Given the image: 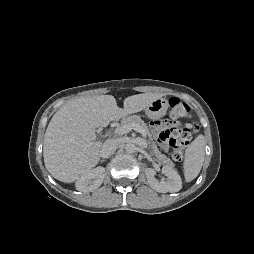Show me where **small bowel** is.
<instances>
[{"instance_id": "c3829d8e", "label": "small bowel", "mask_w": 254, "mask_h": 254, "mask_svg": "<svg viewBox=\"0 0 254 254\" xmlns=\"http://www.w3.org/2000/svg\"><path fill=\"white\" fill-rule=\"evenodd\" d=\"M152 125H154L155 131H156L157 135H159L160 131L163 130L164 128H166L169 125V121L165 120V121L158 122V123H155V124H152Z\"/></svg>"}]
</instances>
